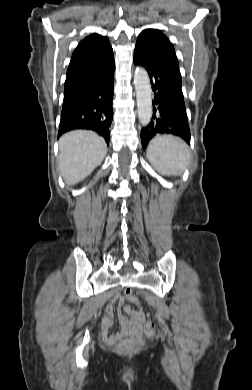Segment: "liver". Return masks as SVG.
Segmentation results:
<instances>
[{
    "instance_id": "liver-1",
    "label": "liver",
    "mask_w": 252,
    "mask_h": 390,
    "mask_svg": "<svg viewBox=\"0 0 252 390\" xmlns=\"http://www.w3.org/2000/svg\"><path fill=\"white\" fill-rule=\"evenodd\" d=\"M107 153L105 140L95 132L75 130L59 140V169L68 185L83 180L101 164Z\"/></svg>"
}]
</instances>
